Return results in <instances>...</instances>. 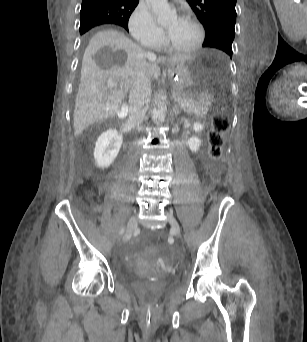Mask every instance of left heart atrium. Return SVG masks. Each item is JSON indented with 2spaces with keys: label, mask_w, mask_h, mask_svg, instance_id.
<instances>
[{
  "label": "left heart atrium",
  "mask_w": 307,
  "mask_h": 342,
  "mask_svg": "<svg viewBox=\"0 0 307 342\" xmlns=\"http://www.w3.org/2000/svg\"><path fill=\"white\" fill-rule=\"evenodd\" d=\"M180 22H181L180 20H179V21H176V24H175L172 28H170V29L168 30V32L166 33V34H167V37L173 36V34L175 33V31H176V29H177V27H178V24H179Z\"/></svg>",
  "instance_id": "39dd6f15"
}]
</instances>
